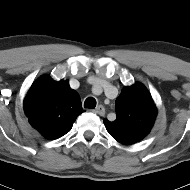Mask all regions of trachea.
Masks as SVG:
<instances>
[{"mask_svg": "<svg viewBox=\"0 0 190 190\" xmlns=\"http://www.w3.org/2000/svg\"><path fill=\"white\" fill-rule=\"evenodd\" d=\"M84 107L94 109L96 107V100L93 97H88L84 102Z\"/></svg>", "mask_w": 190, "mask_h": 190, "instance_id": "trachea-1", "label": "trachea"}]
</instances>
